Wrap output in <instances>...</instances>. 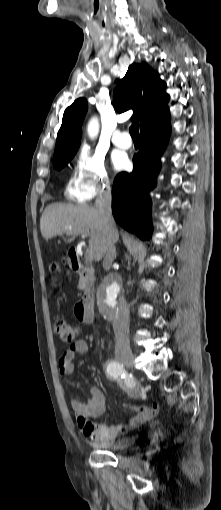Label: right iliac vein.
<instances>
[{"label":"right iliac vein","mask_w":221,"mask_h":510,"mask_svg":"<svg viewBox=\"0 0 221 510\" xmlns=\"http://www.w3.org/2000/svg\"><path fill=\"white\" fill-rule=\"evenodd\" d=\"M117 359L120 363L126 366L129 369H133L134 366V356L132 352H123L117 355Z\"/></svg>","instance_id":"obj_1"}]
</instances>
